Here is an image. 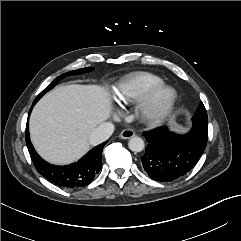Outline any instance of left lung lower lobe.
Here are the masks:
<instances>
[{"instance_id":"1","label":"left lung lower lobe","mask_w":241,"mask_h":241,"mask_svg":"<svg viewBox=\"0 0 241 241\" xmlns=\"http://www.w3.org/2000/svg\"><path fill=\"white\" fill-rule=\"evenodd\" d=\"M147 147L141 157L142 167L149 177L171 182L186 175L203 154L208 135L192 127L183 135L172 133L167 127L144 132Z\"/></svg>"}]
</instances>
